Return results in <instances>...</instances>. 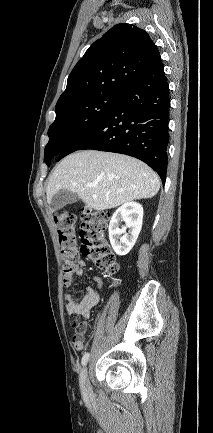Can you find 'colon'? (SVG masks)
<instances>
[{"mask_svg": "<svg viewBox=\"0 0 213 433\" xmlns=\"http://www.w3.org/2000/svg\"><path fill=\"white\" fill-rule=\"evenodd\" d=\"M109 216L104 211H86L80 230L81 253L87 255L101 270L111 275L118 269L114 253L107 241ZM54 223L59 237L60 253L63 261V283L69 287L73 283V272L77 264L76 217L69 211H59L54 215ZM71 326L76 334L83 330L78 317H71Z\"/></svg>", "mask_w": 213, "mask_h": 433, "instance_id": "1", "label": "colon"}]
</instances>
